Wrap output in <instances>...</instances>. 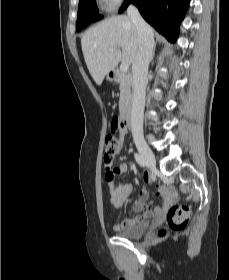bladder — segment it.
Masks as SVG:
<instances>
[{
    "mask_svg": "<svg viewBox=\"0 0 229 280\" xmlns=\"http://www.w3.org/2000/svg\"><path fill=\"white\" fill-rule=\"evenodd\" d=\"M148 227H149L148 221L143 219L138 221L135 225H133L128 229L117 231L116 235L124 236L127 238H137L144 235Z\"/></svg>",
    "mask_w": 229,
    "mask_h": 280,
    "instance_id": "1",
    "label": "bladder"
}]
</instances>
